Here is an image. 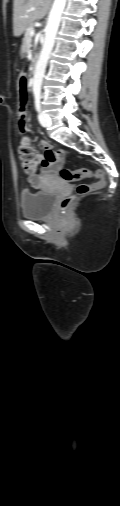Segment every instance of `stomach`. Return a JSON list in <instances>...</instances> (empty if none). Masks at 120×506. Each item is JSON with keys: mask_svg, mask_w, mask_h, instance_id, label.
Returning <instances> with one entry per match:
<instances>
[{"mask_svg": "<svg viewBox=\"0 0 120 506\" xmlns=\"http://www.w3.org/2000/svg\"><path fill=\"white\" fill-rule=\"evenodd\" d=\"M25 50H26V49H25L24 47H22V49H21V55H24V54H25Z\"/></svg>", "mask_w": 120, "mask_h": 506, "instance_id": "obj_1", "label": "stomach"}]
</instances>
